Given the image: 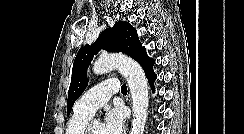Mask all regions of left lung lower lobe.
<instances>
[{
  "label": "left lung lower lobe",
  "mask_w": 244,
  "mask_h": 134,
  "mask_svg": "<svg viewBox=\"0 0 244 134\" xmlns=\"http://www.w3.org/2000/svg\"><path fill=\"white\" fill-rule=\"evenodd\" d=\"M145 74H146V77L148 78V81L150 83V86H151L152 90H154L153 83H154V81L156 79V75H155L154 71L150 70V71L145 72Z\"/></svg>",
  "instance_id": "obj_1"
}]
</instances>
